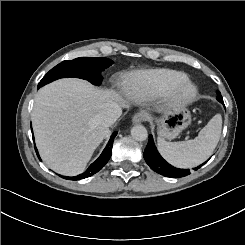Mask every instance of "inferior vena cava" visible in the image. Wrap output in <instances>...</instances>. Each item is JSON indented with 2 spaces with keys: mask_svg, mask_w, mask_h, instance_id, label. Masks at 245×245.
<instances>
[{
  "mask_svg": "<svg viewBox=\"0 0 245 245\" xmlns=\"http://www.w3.org/2000/svg\"><path fill=\"white\" fill-rule=\"evenodd\" d=\"M121 115V109L116 105H110L100 114V122L106 127L113 125Z\"/></svg>",
  "mask_w": 245,
  "mask_h": 245,
  "instance_id": "602c4592",
  "label": "inferior vena cava"
}]
</instances>
